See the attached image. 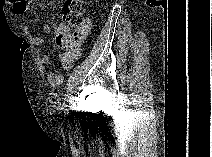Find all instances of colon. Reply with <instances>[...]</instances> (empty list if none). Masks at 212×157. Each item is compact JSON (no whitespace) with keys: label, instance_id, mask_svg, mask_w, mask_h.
I'll use <instances>...</instances> for the list:
<instances>
[{"label":"colon","instance_id":"obj_1","mask_svg":"<svg viewBox=\"0 0 212 157\" xmlns=\"http://www.w3.org/2000/svg\"><path fill=\"white\" fill-rule=\"evenodd\" d=\"M86 3L81 0H66L63 4V16L68 24V30L57 37L59 45H70L76 42L81 35L84 24Z\"/></svg>","mask_w":212,"mask_h":157}]
</instances>
